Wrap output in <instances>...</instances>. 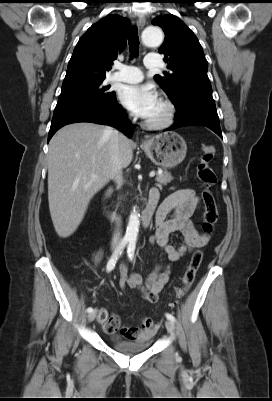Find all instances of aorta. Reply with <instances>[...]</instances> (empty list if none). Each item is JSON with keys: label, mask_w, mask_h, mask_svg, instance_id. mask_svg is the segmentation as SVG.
<instances>
[{"label": "aorta", "mask_w": 272, "mask_h": 401, "mask_svg": "<svg viewBox=\"0 0 272 401\" xmlns=\"http://www.w3.org/2000/svg\"><path fill=\"white\" fill-rule=\"evenodd\" d=\"M163 32L159 27H147L142 33V41L146 46H158L163 42ZM140 226V215L134 209L129 216L125 238L136 241Z\"/></svg>", "instance_id": "obj_1"}]
</instances>
